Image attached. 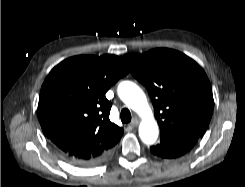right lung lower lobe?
<instances>
[{
    "instance_id": "1",
    "label": "right lung lower lobe",
    "mask_w": 245,
    "mask_h": 187,
    "mask_svg": "<svg viewBox=\"0 0 245 187\" xmlns=\"http://www.w3.org/2000/svg\"><path fill=\"white\" fill-rule=\"evenodd\" d=\"M111 151L104 153L103 155H101L100 157L88 160V161H82V160H69L71 163L78 165V166H92L95 164H98L100 162H102L103 160H105L109 155H110ZM67 159V158H66Z\"/></svg>"
}]
</instances>
